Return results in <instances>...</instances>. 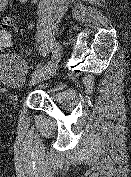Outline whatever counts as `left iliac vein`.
Returning a JSON list of instances; mask_svg holds the SVG:
<instances>
[{
  "label": "left iliac vein",
  "instance_id": "left-iliac-vein-1",
  "mask_svg": "<svg viewBox=\"0 0 131 177\" xmlns=\"http://www.w3.org/2000/svg\"><path fill=\"white\" fill-rule=\"evenodd\" d=\"M60 56H61V46L59 44H55V53L52 57V59L54 60L53 65L47 66V69L45 71L32 76L29 86H34V85L52 77L57 71L58 64L60 61Z\"/></svg>",
  "mask_w": 131,
  "mask_h": 177
}]
</instances>
